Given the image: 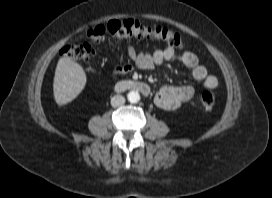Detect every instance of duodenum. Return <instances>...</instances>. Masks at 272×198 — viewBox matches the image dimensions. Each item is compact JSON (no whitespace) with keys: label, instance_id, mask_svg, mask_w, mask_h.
<instances>
[{"label":"duodenum","instance_id":"obj_1","mask_svg":"<svg viewBox=\"0 0 272 198\" xmlns=\"http://www.w3.org/2000/svg\"><path fill=\"white\" fill-rule=\"evenodd\" d=\"M115 92H124L127 90H136L144 96H149L151 93L150 87L146 82L137 80H125L116 83L113 87Z\"/></svg>","mask_w":272,"mask_h":198}]
</instances>
